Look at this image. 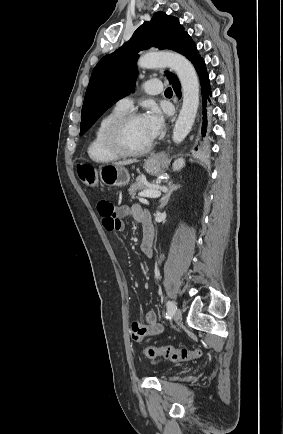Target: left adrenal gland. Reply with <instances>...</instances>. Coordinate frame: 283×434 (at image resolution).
Wrapping results in <instances>:
<instances>
[{
    "label": "left adrenal gland",
    "instance_id": "left-adrenal-gland-1",
    "mask_svg": "<svg viewBox=\"0 0 283 434\" xmlns=\"http://www.w3.org/2000/svg\"><path fill=\"white\" fill-rule=\"evenodd\" d=\"M168 188H169L168 192L165 195H163V197L160 200L159 209H162L167 205L171 195L173 194L174 191H176L178 188H180V185H175L171 181L168 183Z\"/></svg>",
    "mask_w": 283,
    "mask_h": 434
}]
</instances>
